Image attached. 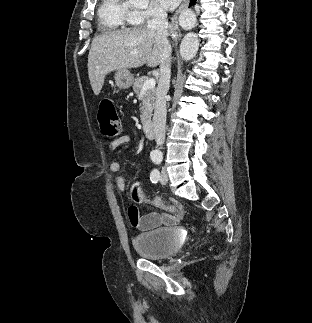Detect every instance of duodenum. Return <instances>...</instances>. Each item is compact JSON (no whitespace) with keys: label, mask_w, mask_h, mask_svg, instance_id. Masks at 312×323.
<instances>
[{"label":"duodenum","mask_w":312,"mask_h":323,"mask_svg":"<svg viewBox=\"0 0 312 323\" xmlns=\"http://www.w3.org/2000/svg\"><path fill=\"white\" fill-rule=\"evenodd\" d=\"M141 124L144 135L149 139H154L155 134L153 130L152 120L150 118H143Z\"/></svg>","instance_id":"obj_1"}]
</instances>
